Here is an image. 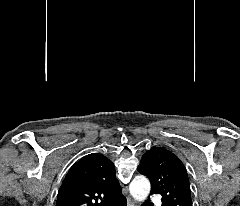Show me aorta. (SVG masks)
Returning <instances> with one entry per match:
<instances>
[{"label": "aorta", "instance_id": "1", "mask_svg": "<svg viewBox=\"0 0 240 206\" xmlns=\"http://www.w3.org/2000/svg\"><path fill=\"white\" fill-rule=\"evenodd\" d=\"M129 190L136 201L143 202L150 193V182L144 176H136L130 183Z\"/></svg>", "mask_w": 240, "mask_h": 206}]
</instances>
